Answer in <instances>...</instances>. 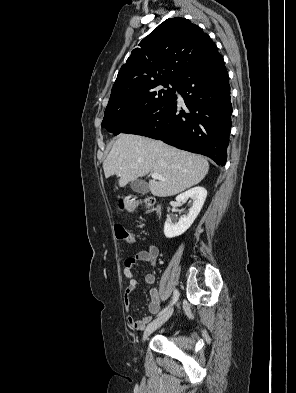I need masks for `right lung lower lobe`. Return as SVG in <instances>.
<instances>
[{
	"instance_id": "1",
	"label": "right lung lower lobe",
	"mask_w": 296,
	"mask_h": 393,
	"mask_svg": "<svg viewBox=\"0 0 296 393\" xmlns=\"http://www.w3.org/2000/svg\"><path fill=\"white\" fill-rule=\"evenodd\" d=\"M175 91L184 100L177 103ZM232 104L228 73L215 46L188 68L170 100L122 133L137 134L210 157L219 165L227 159Z\"/></svg>"
}]
</instances>
